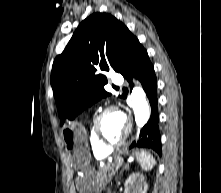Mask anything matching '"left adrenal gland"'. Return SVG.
<instances>
[{"instance_id":"obj_1","label":"left adrenal gland","mask_w":221,"mask_h":193,"mask_svg":"<svg viewBox=\"0 0 221 193\" xmlns=\"http://www.w3.org/2000/svg\"><path fill=\"white\" fill-rule=\"evenodd\" d=\"M127 169H129V167H128V166H125V167L123 168V170H121V172H120V174H119V177L122 176L124 170H127ZM119 177H117V180H118Z\"/></svg>"}]
</instances>
